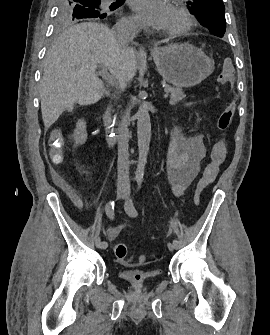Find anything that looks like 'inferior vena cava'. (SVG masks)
<instances>
[{
  "mask_svg": "<svg viewBox=\"0 0 270 335\" xmlns=\"http://www.w3.org/2000/svg\"><path fill=\"white\" fill-rule=\"evenodd\" d=\"M113 34L118 42V44H129L133 42V38H136L138 34V26H135L132 20H126V18H121L119 22H116L115 26L112 28ZM116 80L119 82V90H125L127 88L128 80H123L119 76H115ZM129 122L127 116H124L121 124L118 128V185H130L129 183V154H128V142H129Z\"/></svg>",
  "mask_w": 270,
  "mask_h": 335,
  "instance_id": "inferior-vena-cava-1",
  "label": "inferior vena cava"
}]
</instances>
